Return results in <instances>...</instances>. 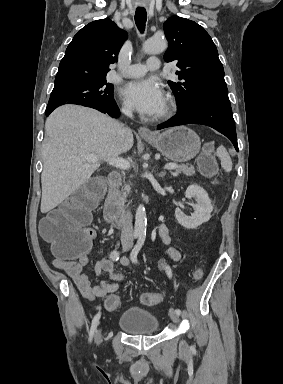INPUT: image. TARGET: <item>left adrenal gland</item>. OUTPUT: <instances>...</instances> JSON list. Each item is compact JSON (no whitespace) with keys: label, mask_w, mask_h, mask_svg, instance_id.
<instances>
[{"label":"left adrenal gland","mask_w":283,"mask_h":384,"mask_svg":"<svg viewBox=\"0 0 283 384\" xmlns=\"http://www.w3.org/2000/svg\"><path fill=\"white\" fill-rule=\"evenodd\" d=\"M166 172H160V174H157V176H159V178H164Z\"/></svg>","instance_id":"a2214340"}]
</instances>
